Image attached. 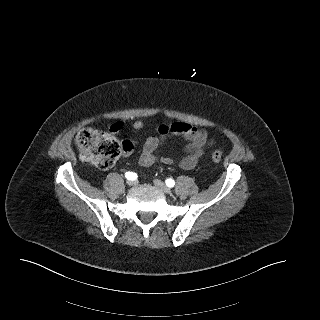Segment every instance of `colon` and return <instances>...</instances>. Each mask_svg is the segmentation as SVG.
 <instances>
[{
	"instance_id": "colon-1",
	"label": "colon",
	"mask_w": 320,
	"mask_h": 320,
	"mask_svg": "<svg viewBox=\"0 0 320 320\" xmlns=\"http://www.w3.org/2000/svg\"><path fill=\"white\" fill-rule=\"evenodd\" d=\"M75 140L85 158L101 169L111 167L122 151L127 152L132 149L128 142L120 143L112 134L90 128L81 130ZM211 157L215 163H220L222 153L215 149Z\"/></svg>"
}]
</instances>
